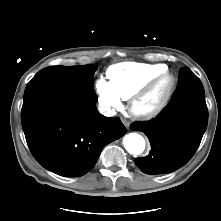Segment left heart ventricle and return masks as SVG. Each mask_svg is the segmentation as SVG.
<instances>
[{
    "label": "left heart ventricle",
    "instance_id": "1",
    "mask_svg": "<svg viewBox=\"0 0 221 221\" xmlns=\"http://www.w3.org/2000/svg\"><path fill=\"white\" fill-rule=\"evenodd\" d=\"M167 85L168 81L162 82L146 99L141 102L139 107L144 110L153 108L161 99Z\"/></svg>",
    "mask_w": 221,
    "mask_h": 221
}]
</instances>
